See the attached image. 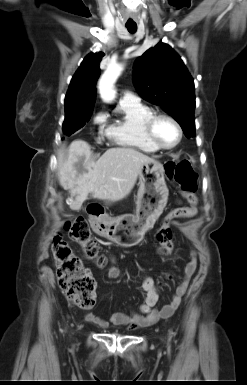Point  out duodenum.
I'll return each mask as SVG.
<instances>
[{"instance_id": "410a0bca", "label": "duodenum", "mask_w": 247, "mask_h": 385, "mask_svg": "<svg viewBox=\"0 0 247 385\" xmlns=\"http://www.w3.org/2000/svg\"><path fill=\"white\" fill-rule=\"evenodd\" d=\"M89 213L94 218V221L92 224L94 229H98L100 226L103 227L105 224H107V221L102 218V214L104 213V211L97 204L93 205L92 209L89 210Z\"/></svg>"}]
</instances>
